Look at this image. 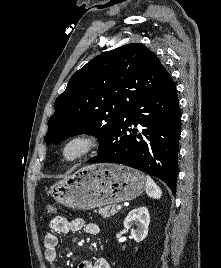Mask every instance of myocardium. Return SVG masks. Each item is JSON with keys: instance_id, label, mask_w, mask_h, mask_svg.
Here are the masks:
<instances>
[{"instance_id": "obj_1", "label": "myocardium", "mask_w": 221, "mask_h": 268, "mask_svg": "<svg viewBox=\"0 0 221 268\" xmlns=\"http://www.w3.org/2000/svg\"><path fill=\"white\" fill-rule=\"evenodd\" d=\"M101 141L99 137L91 132H78L63 141L59 154L65 163L79 162L100 147Z\"/></svg>"}]
</instances>
